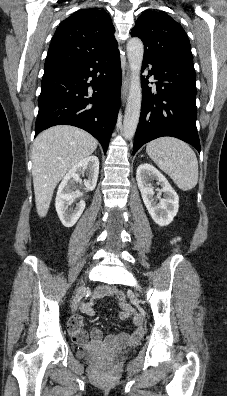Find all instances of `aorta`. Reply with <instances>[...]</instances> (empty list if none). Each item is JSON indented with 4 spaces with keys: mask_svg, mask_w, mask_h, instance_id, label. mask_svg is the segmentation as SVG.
<instances>
[{
    "mask_svg": "<svg viewBox=\"0 0 227 396\" xmlns=\"http://www.w3.org/2000/svg\"><path fill=\"white\" fill-rule=\"evenodd\" d=\"M143 54L144 46L142 41L139 38H131L127 43V57L131 78L123 121V134L126 139H131L134 136L139 122L142 100L140 72Z\"/></svg>",
    "mask_w": 227,
    "mask_h": 396,
    "instance_id": "obj_1",
    "label": "aorta"
}]
</instances>
